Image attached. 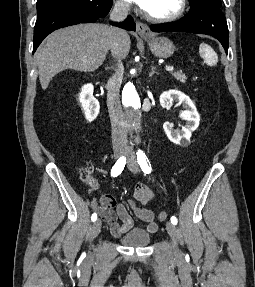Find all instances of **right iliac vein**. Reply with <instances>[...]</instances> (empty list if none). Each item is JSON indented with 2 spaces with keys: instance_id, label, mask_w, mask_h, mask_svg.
Segmentation results:
<instances>
[{
  "instance_id": "63e3f726",
  "label": "right iliac vein",
  "mask_w": 255,
  "mask_h": 287,
  "mask_svg": "<svg viewBox=\"0 0 255 287\" xmlns=\"http://www.w3.org/2000/svg\"><path fill=\"white\" fill-rule=\"evenodd\" d=\"M124 153V149L122 147H116L114 149V158L115 159H118L119 157L122 156V154ZM101 220L98 219L97 221H95L92 225V228H91V233H90V236H91V240H93L101 231Z\"/></svg>"
}]
</instances>
